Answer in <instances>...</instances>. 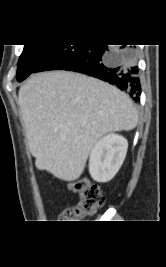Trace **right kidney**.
<instances>
[{
  "label": "right kidney",
  "instance_id": "ca27d5eb",
  "mask_svg": "<svg viewBox=\"0 0 166 267\" xmlns=\"http://www.w3.org/2000/svg\"><path fill=\"white\" fill-rule=\"evenodd\" d=\"M128 148L127 140L118 134H108L93 147L89 172L98 182L111 180L123 164Z\"/></svg>",
  "mask_w": 166,
  "mask_h": 267
}]
</instances>
